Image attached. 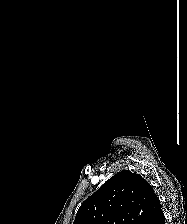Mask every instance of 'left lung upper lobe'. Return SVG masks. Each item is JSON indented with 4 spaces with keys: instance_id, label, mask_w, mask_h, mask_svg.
<instances>
[{
    "instance_id": "5c2ea615",
    "label": "left lung upper lobe",
    "mask_w": 187,
    "mask_h": 224,
    "mask_svg": "<svg viewBox=\"0 0 187 224\" xmlns=\"http://www.w3.org/2000/svg\"><path fill=\"white\" fill-rule=\"evenodd\" d=\"M160 211L152 186L141 175L124 170L83 202L73 224H151Z\"/></svg>"
}]
</instances>
